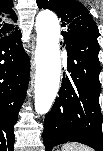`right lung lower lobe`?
<instances>
[{"label": "right lung lower lobe", "instance_id": "98d812e1", "mask_svg": "<svg viewBox=\"0 0 103 151\" xmlns=\"http://www.w3.org/2000/svg\"><path fill=\"white\" fill-rule=\"evenodd\" d=\"M29 79V58L21 33L0 38V151H13V127L24 101Z\"/></svg>", "mask_w": 103, "mask_h": 151}]
</instances>
